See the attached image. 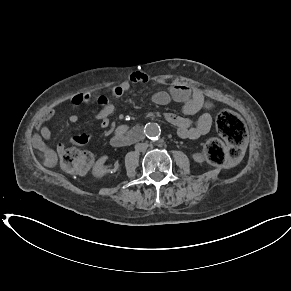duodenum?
Instances as JSON below:
<instances>
[{"instance_id": "1", "label": "duodenum", "mask_w": 291, "mask_h": 291, "mask_svg": "<svg viewBox=\"0 0 291 291\" xmlns=\"http://www.w3.org/2000/svg\"><path fill=\"white\" fill-rule=\"evenodd\" d=\"M144 137L143 127L137 126L124 136H115L111 140L114 147H124L140 141Z\"/></svg>"}]
</instances>
